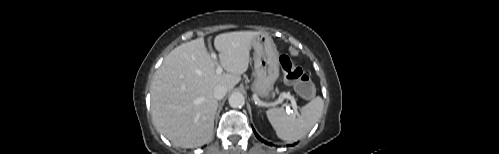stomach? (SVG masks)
Here are the masks:
<instances>
[{"instance_id": "1", "label": "stomach", "mask_w": 499, "mask_h": 154, "mask_svg": "<svg viewBox=\"0 0 499 154\" xmlns=\"http://www.w3.org/2000/svg\"><path fill=\"white\" fill-rule=\"evenodd\" d=\"M254 49V75L252 91L267 98L279 77V56L273 39L268 33H260L252 40Z\"/></svg>"}]
</instances>
